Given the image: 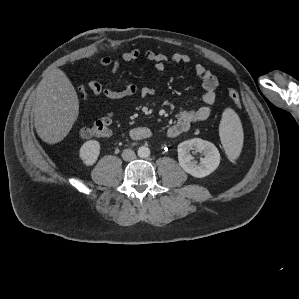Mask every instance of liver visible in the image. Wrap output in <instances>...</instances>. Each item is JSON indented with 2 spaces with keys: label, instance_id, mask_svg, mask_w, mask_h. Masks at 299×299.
<instances>
[{
  "label": "liver",
  "instance_id": "obj_1",
  "mask_svg": "<svg viewBox=\"0 0 299 299\" xmlns=\"http://www.w3.org/2000/svg\"><path fill=\"white\" fill-rule=\"evenodd\" d=\"M35 96L33 112L38 136L48 144L62 141L79 114L75 88L62 70L54 68L42 78Z\"/></svg>",
  "mask_w": 299,
  "mask_h": 299
}]
</instances>
